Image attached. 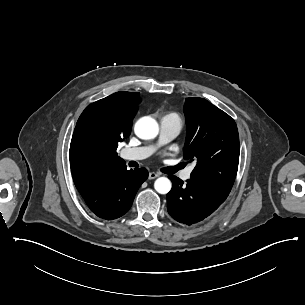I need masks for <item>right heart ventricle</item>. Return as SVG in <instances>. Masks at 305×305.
I'll list each match as a JSON object with an SVG mask.
<instances>
[{
    "mask_svg": "<svg viewBox=\"0 0 305 305\" xmlns=\"http://www.w3.org/2000/svg\"><path fill=\"white\" fill-rule=\"evenodd\" d=\"M170 115H172V116H176L175 114H170ZM177 117V116H176Z\"/></svg>",
    "mask_w": 305,
    "mask_h": 305,
    "instance_id": "e07e8e85",
    "label": "right heart ventricle"
}]
</instances>
